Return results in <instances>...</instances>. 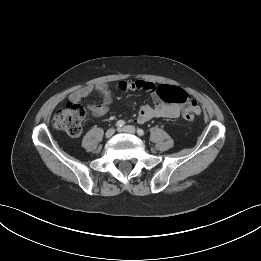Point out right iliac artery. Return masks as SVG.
Here are the masks:
<instances>
[{
  "label": "right iliac artery",
  "instance_id": "82829eb1",
  "mask_svg": "<svg viewBox=\"0 0 261 261\" xmlns=\"http://www.w3.org/2000/svg\"><path fill=\"white\" fill-rule=\"evenodd\" d=\"M124 125H125V121H123V120H119V121L116 122V126H117L118 128H120V127H122V126H124Z\"/></svg>",
  "mask_w": 261,
  "mask_h": 261
}]
</instances>
